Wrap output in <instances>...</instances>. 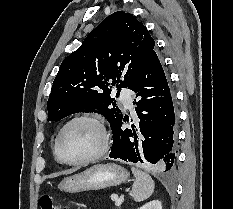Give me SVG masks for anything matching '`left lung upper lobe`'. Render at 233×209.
<instances>
[{
	"label": "left lung upper lobe",
	"mask_w": 233,
	"mask_h": 209,
	"mask_svg": "<svg viewBox=\"0 0 233 209\" xmlns=\"http://www.w3.org/2000/svg\"><path fill=\"white\" fill-rule=\"evenodd\" d=\"M153 49L154 39L135 16L117 11L106 17L62 62L47 103L48 121H59L80 109H97L111 126L122 117L110 97L113 87L118 97Z\"/></svg>",
	"instance_id": "5c2ea615"
}]
</instances>
